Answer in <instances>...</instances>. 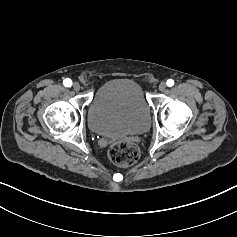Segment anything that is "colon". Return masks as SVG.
Instances as JSON below:
<instances>
[{"label": "colon", "instance_id": "obj_1", "mask_svg": "<svg viewBox=\"0 0 237 237\" xmlns=\"http://www.w3.org/2000/svg\"><path fill=\"white\" fill-rule=\"evenodd\" d=\"M107 154L115 165L121 167L133 166L140 156L138 147L129 140H122L109 145Z\"/></svg>", "mask_w": 237, "mask_h": 237}]
</instances>
